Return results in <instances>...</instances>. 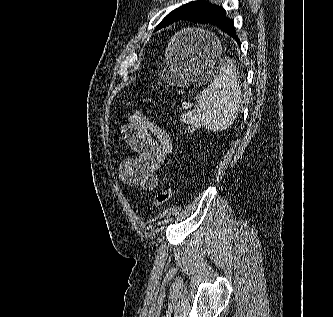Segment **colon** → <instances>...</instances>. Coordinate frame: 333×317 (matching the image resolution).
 Here are the masks:
<instances>
[{
    "label": "colon",
    "mask_w": 333,
    "mask_h": 317,
    "mask_svg": "<svg viewBox=\"0 0 333 317\" xmlns=\"http://www.w3.org/2000/svg\"><path fill=\"white\" fill-rule=\"evenodd\" d=\"M195 127L192 124H188L185 127V131L186 133L190 134L194 131ZM173 196V190L170 186H165L156 196L154 203H153V207L154 208H158L163 206L164 204H166L167 202H169L171 200Z\"/></svg>",
    "instance_id": "colon-1"
}]
</instances>
